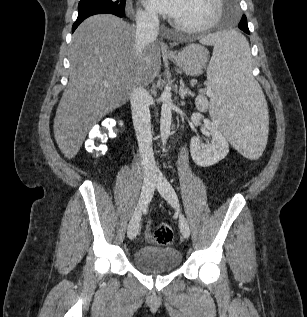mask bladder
<instances>
[{"mask_svg":"<svg viewBox=\"0 0 307 317\" xmlns=\"http://www.w3.org/2000/svg\"><path fill=\"white\" fill-rule=\"evenodd\" d=\"M135 266L146 274L158 275L173 271L181 263V254L171 247L139 248L134 256Z\"/></svg>","mask_w":307,"mask_h":317,"instance_id":"1","label":"bladder"}]
</instances>
